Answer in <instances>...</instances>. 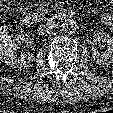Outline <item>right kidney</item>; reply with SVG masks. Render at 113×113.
<instances>
[{
    "mask_svg": "<svg viewBox=\"0 0 113 113\" xmlns=\"http://www.w3.org/2000/svg\"><path fill=\"white\" fill-rule=\"evenodd\" d=\"M32 39L26 33H20L9 44V48L3 54L5 63L13 68H25L33 62V55L29 52L18 55V47L21 42L31 45Z\"/></svg>",
    "mask_w": 113,
    "mask_h": 113,
    "instance_id": "obj_1",
    "label": "right kidney"
}]
</instances>
